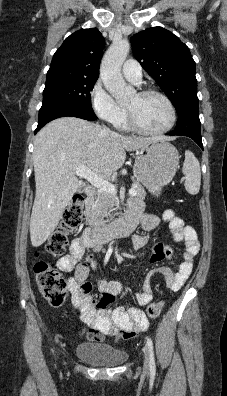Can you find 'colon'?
<instances>
[{
	"mask_svg": "<svg viewBox=\"0 0 227 396\" xmlns=\"http://www.w3.org/2000/svg\"><path fill=\"white\" fill-rule=\"evenodd\" d=\"M83 220V198L74 196L66 208L58 228L46 242V251L52 256H61L67 246L69 236L76 231ZM37 286L44 299L54 307L64 305L68 295V285L52 264L39 260L34 266ZM162 302L151 303L147 307V314L154 318L162 310Z\"/></svg>",
	"mask_w": 227,
	"mask_h": 396,
	"instance_id": "5ec220e1",
	"label": "colon"
}]
</instances>
